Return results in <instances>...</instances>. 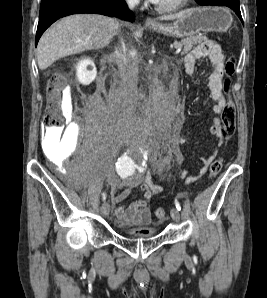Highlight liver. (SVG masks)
Segmentation results:
<instances>
[{"label":"liver","instance_id":"6515ba94","mask_svg":"<svg viewBox=\"0 0 267 298\" xmlns=\"http://www.w3.org/2000/svg\"><path fill=\"white\" fill-rule=\"evenodd\" d=\"M183 11L167 15L160 20H174ZM119 22L116 19L96 14H77L62 18L48 29L40 38L37 46V61L41 70L51 66L65 56L87 50L106 47L117 34ZM136 38L143 35L142 29L134 31Z\"/></svg>","mask_w":267,"mask_h":298}]
</instances>
